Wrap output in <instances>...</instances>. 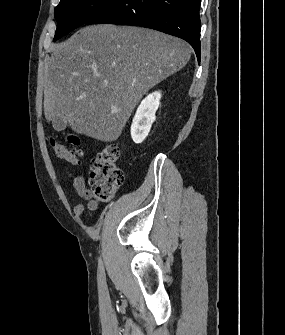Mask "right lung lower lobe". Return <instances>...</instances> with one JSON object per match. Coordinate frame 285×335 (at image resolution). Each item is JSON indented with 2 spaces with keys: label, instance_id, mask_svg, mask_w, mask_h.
<instances>
[{
  "label": "right lung lower lobe",
  "instance_id": "obj_1",
  "mask_svg": "<svg viewBox=\"0 0 285 335\" xmlns=\"http://www.w3.org/2000/svg\"><path fill=\"white\" fill-rule=\"evenodd\" d=\"M201 0H117L84 24L151 28L187 41L200 62Z\"/></svg>",
  "mask_w": 285,
  "mask_h": 335
}]
</instances>
